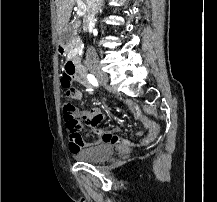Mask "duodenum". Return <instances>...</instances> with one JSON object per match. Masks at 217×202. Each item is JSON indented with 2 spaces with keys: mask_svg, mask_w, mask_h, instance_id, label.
<instances>
[{
  "mask_svg": "<svg viewBox=\"0 0 217 202\" xmlns=\"http://www.w3.org/2000/svg\"><path fill=\"white\" fill-rule=\"evenodd\" d=\"M59 52L62 56H68L69 48L66 45L61 44L59 46ZM65 71L71 78H73L83 86L87 88L91 87V84L86 75V70L77 59L68 58L65 63Z\"/></svg>",
  "mask_w": 217,
  "mask_h": 202,
  "instance_id": "1",
  "label": "duodenum"
}]
</instances>
